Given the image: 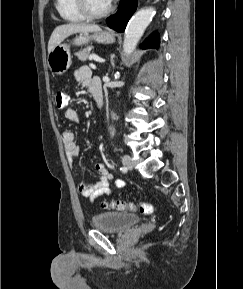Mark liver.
<instances>
[{
    "label": "liver",
    "instance_id": "6515ba94",
    "mask_svg": "<svg viewBox=\"0 0 243 289\" xmlns=\"http://www.w3.org/2000/svg\"><path fill=\"white\" fill-rule=\"evenodd\" d=\"M98 25L69 23L57 26L51 34L48 42V53H50L55 46L60 44L65 38L74 33H90L100 31Z\"/></svg>",
    "mask_w": 243,
    "mask_h": 289
}]
</instances>
